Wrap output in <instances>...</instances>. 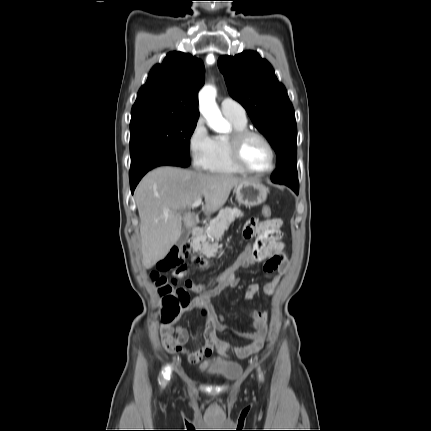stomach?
<instances>
[{
  "label": "stomach",
  "mask_w": 431,
  "mask_h": 431,
  "mask_svg": "<svg viewBox=\"0 0 431 431\" xmlns=\"http://www.w3.org/2000/svg\"><path fill=\"white\" fill-rule=\"evenodd\" d=\"M236 200L245 206L254 207L266 201L268 189L253 179H246L235 186Z\"/></svg>",
  "instance_id": "stomach-1"
}]
</instances>
